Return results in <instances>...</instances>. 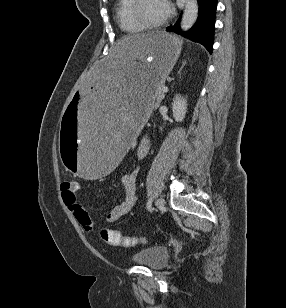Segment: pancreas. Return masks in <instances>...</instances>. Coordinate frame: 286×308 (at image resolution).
I'll return each instance as SVG.
<instances>
[{"instance_id": "pancreas-1", "label": "pancreas", "mask_w": 286, "mask_h": 308, "mask_svg": "<svg viewBox=\"0 0 286 308\" xmlns=\"http://www.w3.org/2000/svg\"><path fill=\"white\" fill-rule=\"evenodd\" d=\"M163 97H164V94L162 93V90L159 89L156 93V97H155L156 103L154 104V106L157 107L159 105L160 101L163 99Z\"/></svg>"}]
</instances>
